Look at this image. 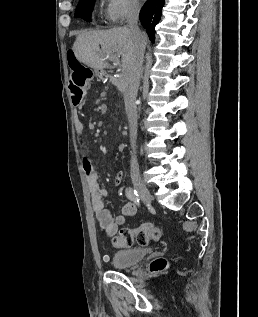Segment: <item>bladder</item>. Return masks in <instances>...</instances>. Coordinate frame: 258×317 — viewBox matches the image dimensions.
<instances>
[{
	"mask_svg": "<svg viewBox=\"0 0 258 317\" xmlns=\"http://www.w3.org/2000/svg\"><path fill=\"white\" fill-rule=\"evenodd\" d=\"M148 247H134L115 252L112 256V264L115 268L125 269L140 263L151 253Z\"/></svg>",
	"mask_w": 258,
	"mask_h": 317,
	"instance_id": "1",
	"label": "bladder"
}]
</instances>
